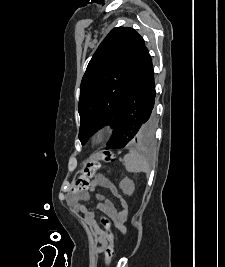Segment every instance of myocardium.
<instances>
[{"instance_id":"obj_1","label":"myocardium","mask_w":225,"mask_h":267,"mask_svg":"<svg viewBox=\"0 0 225 267\" xmlns=\"http://www.w3.org/2000/svg\"><path fill=\"white\" fill-rule=\"evenodd\" d=\"M114 127L110 122L99 124L93 131L91 142L95 145L104 143L112 134Z\"/></svg>"}]
</instances>
